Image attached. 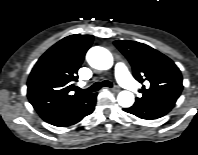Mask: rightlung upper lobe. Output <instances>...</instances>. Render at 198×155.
<instances>
[{
    "instance_id": "cb5924a9",
    "label": "right lung upper lobe",
    "mask_w": 198,
    "mask_h": 155,
    "mask_svg": "<svg viewBox=\"0 0 198 155\" xmlns=\"http://www.w3.org/2000/svg\"><path fill=\"white\" fill-rule=\"evenodd\" d=\"M93 41L92 35H71L48 49L35 64L28 79L27 96L41 115L68 105L85 93L76 92L73 81Z\"/></svg>"
}]
</instances>
